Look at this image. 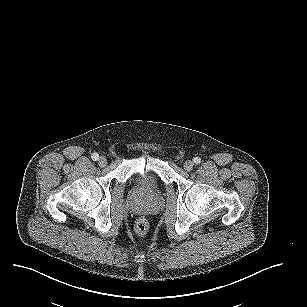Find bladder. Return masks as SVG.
<instances>
[{
	"label": "bladder",
	"instance_id": "31cf9c89",
	"mask_svg": "<svg viewBox=\"0 0 307 307\" xmlns=\"http://www.w3.org/2000/svg\"><path fill=\"white\" fill-rule=\"evenodd\" d=\"M141 176H142V177H148V176H151V175H150V174H144V173H143Z\"/></svg>",
	"mask_w": 307,
	"mask_h": 307
}]
</instances>
